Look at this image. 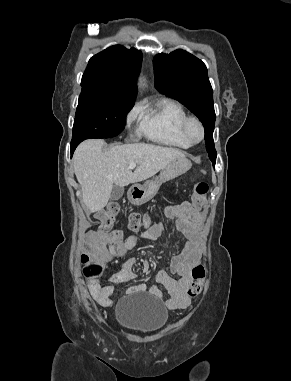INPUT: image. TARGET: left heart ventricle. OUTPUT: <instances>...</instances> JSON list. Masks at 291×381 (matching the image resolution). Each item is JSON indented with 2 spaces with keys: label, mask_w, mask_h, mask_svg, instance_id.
<instances>
[{
  "label": "left heart ventricle",
  "mask_w": 291,
  "mask_h": 381,
  "mask_svg": "<svg viewBox=\"0 0 291 381\" xmlns=\"http://www.w3.org/2000/svg\"><path fill=\"white\" fill-rule=\"evenodd\" d=\"M191 130H192V133L195 137H197L199 135V130H198V127L196 125H192Z\"/></svg>",
  "instance_id": "left-heart-ventricle-1"
}]
</instances>
